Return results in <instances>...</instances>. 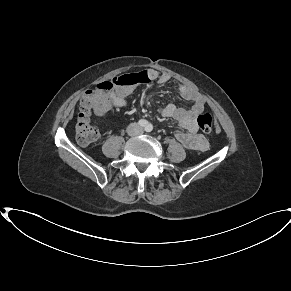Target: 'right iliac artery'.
<instances>
[{
    "label": "right iliac artery",
    "mask_w": 291,
    "mask_h": 291,
    "mask_svg": "<svg viewBox=\"0 0 291 291\" xmlns=\"http://www.w3.org/2000/svg\"><path fill=\"white\" fill-rule=\"evenodd\" d=\"M138 124L141 126V127H146L148 122L144 119H141L139 120Z\"/></svg>",
    "instance_id": "obj_1"
}]
</instances>
